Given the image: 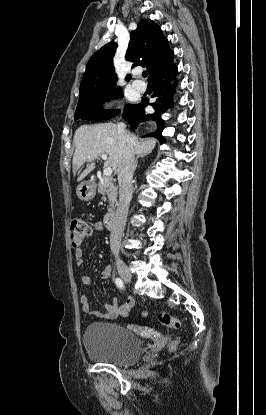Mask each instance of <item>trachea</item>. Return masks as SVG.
I'll return each mask as SVG.
<instances>
[{
	"instance_id": "obj_1",
	"label": "trachea",
	"mask_w": 266,
	"mask_h": 415,
	"mask_svg": "<svg viewBox=\"0 0 266 415\" xmlns=\"http://www.w3.org/2000/svg\"><path fill=\"white\" fill-rule=\"evenodd\" d=\"M147 75H148V72H147V71H144V72L142 73V76H143V77H147Z\"/></svg>"
}]
</instances>
